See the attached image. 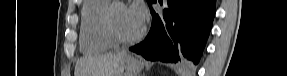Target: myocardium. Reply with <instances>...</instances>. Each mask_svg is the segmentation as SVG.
<instances>
[{
	"instance_id": "obj_1",
	"label": "myocardium",
	"mask_w": 287,
	"mask_h": 76,
	"mask_svg": "<svg viewBox=\"0 0 287 76\" xmlns=\"http://www.w3.org/2000/svg\"><path fill=\"white\" fill-rule=\"evenodd\" d=\"M118 7H127V4L122 1H112L104 11L101 20V26L104 34L114 44H130L142 39L146 32L145 26H142L141 30L133 36H124L118 31L114 23V14Z\"/></svg>"
}]
</instances>
